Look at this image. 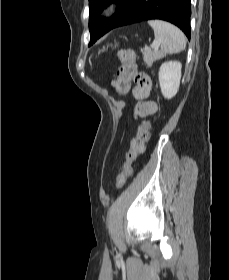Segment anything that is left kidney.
<instances>
[{
	"label": "left kidney",
	"mask_w": 229,
	"mask_h": 280,
	"mask_svg": "<svg viewBox=\"0 0 229 280\" xmlns=\"http://www.w3.org/2000/svg\"><path fill=\"white\" fill-rule=\"evenodd\" d=\"M182 65L177 61L164 62L159 69V83L162 95L171 99L179 89Z\"/></svg>",
	"instance_id": "left-kidney-1"
}]
</instances>
